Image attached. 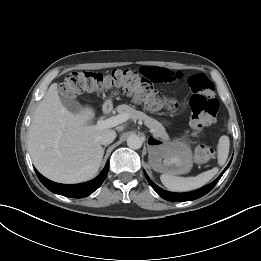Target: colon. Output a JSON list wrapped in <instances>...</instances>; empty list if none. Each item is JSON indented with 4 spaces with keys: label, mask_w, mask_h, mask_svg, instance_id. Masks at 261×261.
I'll return each instance as SVG.
<instances>
[{
    "label": "colon",
    "mask_w": 261,
    "mask_h": 261,
    "mask_svg": "<svg viewBox=\"0 0 261 261\" xmlns=\"http://www.w3.org/2000/svg\"><path fill=\"white\" fill-rule=\"evenodd\" d=\"M188 86L192 96L189 100L191 108L190 124L196 135L203 128L213 124L218 111V101L215 97V87L212 81L203 73L191 75ZM120 88L125 94L142 102L148 109L166 108L175 110L180 103L172 98H166L156 91L148 78L132 70L115 69L110 73L93 71H75L69 73L60 85V93L65 98H75L85 93H94L111 88ZM214 156V150L208 145H198L195 158L199 163H206Z\"/></svg>",
    "instance_id": "1"
}]
</instances>
